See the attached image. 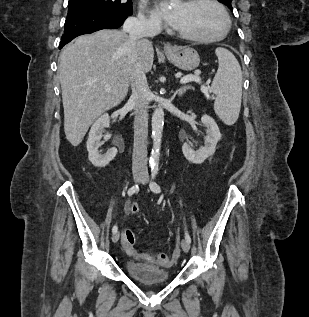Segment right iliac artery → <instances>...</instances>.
<instances>
[{
	"instance_id": "1",
	"label": "right iliac artery",
	"mask_w": 309,
	"mask_h": 317,
	"mask_svg": "<svg viewBox=\"0 0 309 317\" xmlns=\"http://www.w3.org/2000/svg\"><path fill=\"white\" fill-rule=\"evenodd\" d=\"M138 190H139L138 185L132 186V187L128 190L127 194H128L129 196H132V195H133L134 193H136ZM117 230H118L117 225H114L113 228H112V232L115 233V232H117Z\"/></svg>"
}]
</instances>
